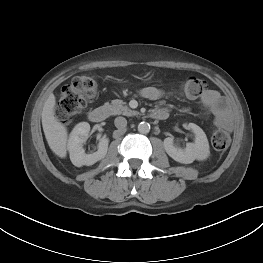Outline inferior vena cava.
<instances>
[{
  "instance_id": "obj_1",
  "label": "inferior vena cava",
  "mask_w": 263,
  "mask_h": 263,
  "mask_svg": "<svg viewBox=\"0 0 263 263\" xmlns=\"http://www.w3.org/2000/svg\"><path fill=\"white\" fill-rule=\"evenodd\" d=\"M114 124L116 128L120 130H124L125 127L127 126V120L124 117L119 116L115 118Z\"/></svg>"
}]
</instances>
